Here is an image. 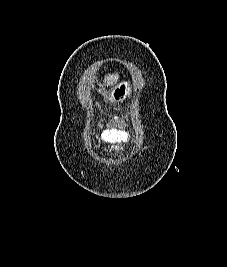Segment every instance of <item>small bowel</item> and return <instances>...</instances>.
Instances as JSON below:
<instances>
[{
  "instance_id": "1",
  "label": "small bowel",
  "mask_w": 227,
  "mask_h": 267,
  "mask_svg": "<svg viewBox=\"0 0 227 267\" xmlns=\"http://www.w3.org/2000/svg\"><path fill=\"white\" fill-rule=\"evenodd\" d=\"M101 139L108 145L118 148L119 145L130 142L131 135L127 131L108 128L102 131Z\"/></svg>"
}]
</instances>
